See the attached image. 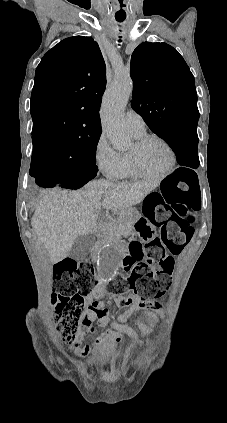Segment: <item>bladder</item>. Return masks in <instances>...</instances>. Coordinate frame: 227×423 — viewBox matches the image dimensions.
<instances>
[{
    "mask_svg": "<svg viewBox=\"0 0 227 423\" xmlns=\"http://www.w3.org/2000/svg\"><path fill=\"white\" fill-rule=\"evenodd\" d=\"M104 362H105L104 359H101V360L98 359V363L100 364L101 367L104 366ZM97 369H100V368H97Z\"/></svg>",
    "mask_w": 227,
    "mask_h": 423,
    "instance_id": "obj_1",
    "label": "bladder"
}]
</instances>
